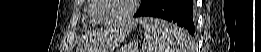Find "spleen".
Segmentation results:
<instances>
[{"mask_svg": "<svg viewBox=\"0 0 261 52\" xmlns=\"http://www.w3.org/2000/svg\"><path fill=\"white\" fill-rule=\"evenodd\" d=\"M146 43L143 52H191L193 42L185 30L167 21L153 18L141 20Z\"/></svg>", "mask_w": 261, "mask_h": 52, "instance_id": "1", "label": "spleen"}]
</instances>
